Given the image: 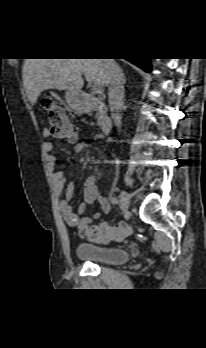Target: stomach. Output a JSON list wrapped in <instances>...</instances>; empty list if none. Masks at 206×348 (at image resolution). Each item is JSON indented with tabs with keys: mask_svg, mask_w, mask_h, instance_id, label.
I'll use <instances>...</instances> for the list:
<instances>
[{
	"mask_svg": "<svg viewBox=\"0 0 206 348\" xmlns=\"http://www.w3.org/2000/svg\"><path fill=\"white\" fill-rule=\"evenodd\" d=\"M65 99L69 107L75 111L82 112L87 107L84 96L80 92L67 91L65 93Z\"/></svg>",
	"mask_w": 206,
	"mask_h": 348,
	"instance_id": "0dacf381",
	"label": "stomach"
}]
</instances>
